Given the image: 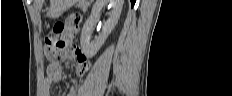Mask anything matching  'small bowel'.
Returning a JSON list of instances; mask_svg holds the SVG:
<instances>
[{
	"label": "small bowel",
	"instance_id": "c3829d8e",
	"mask_svg": "<svg viewBox=\"0 0 232 96\" xmlns=\"http://www.w3.org/2000/svg\"><path fill=\"white\" fill-rule=\"evenodd\" d=\"M69 15H65V20H69L65 26V38L66 43H76V34L78 35L81 29L82 15H79V11H69ZM65 57L74 58L77 61V69L80 74H84L88 68H90V63H87L85 56L79 49H72L71 51H66ZM62 73L60 70L57 72H52L51 66L48 68L47 74L43 80V91L44 95L50 94L51 85L60 82L62 79ZM69 96H77V90L71 88L69 91Z\"/></svg>",
	"mask_w": 232,
	"mask_h": 96
}]
</instances>
